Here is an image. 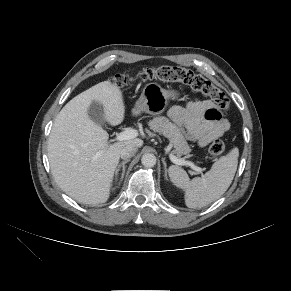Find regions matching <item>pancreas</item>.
<instances>
[{
  "label": "pancreas",
  "instance_id": "cf45deb5",
  "mask_svg": "<svg viewBox=\"0 0 291 291\" xmlns=\"http://www.w3.org/2000/svg\"><path fill=\"white\" fill-rule=\"evenodd\" d=\"M150 128L167 137L173 146V154L177 157L188 155L191 151L185 137L178 126L170 122L167 117L159 116L149 122Z\"/></svg>",
  "mask_w": 291,
  "mask_h": 291
}]
</instances>
